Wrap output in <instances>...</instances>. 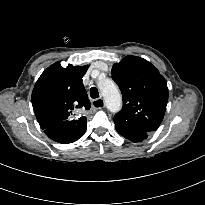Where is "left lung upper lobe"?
<instances>
[{
  "mask_svg": "<svg viewBox=\"0 0 205 205\" xmlns=\"http://www.w3.org/2000/svg\"><path fill=\"white\" fill-rule=\"evenodd\" d=\"M111 72L123 97V107L114 118L147 132L157 130L168 101L163 76L150 62L137 56H126L113 65Z\"/></svg>",
  "mask_w": 205,
  "mask_h": 205,
  "instance_id": "obj_1",
  "label": "left lung upper lobe"
}]
</instances>
